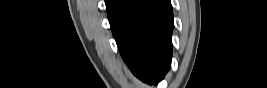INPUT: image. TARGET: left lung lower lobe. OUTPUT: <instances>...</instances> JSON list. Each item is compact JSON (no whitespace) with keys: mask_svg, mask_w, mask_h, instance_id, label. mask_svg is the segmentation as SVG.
Returning a JSON list of instances; mask_svg holds the SVG:
<instances>
[{"mask_svg":"<svg viewBox=\"0 0 267 88\" xmlns=\"http://www.w3.org/2000/svg\"><path fill=\"white\" fill-rule=\"evenodd\" d=\"M110 27L134 75L157 84L171 63L172 6L169 0H105Z\"/></svg>","mask_w":267,"mask_h":88,"instance_id":"obj_1","label":"left lung lower lobe"}]
</instances>
